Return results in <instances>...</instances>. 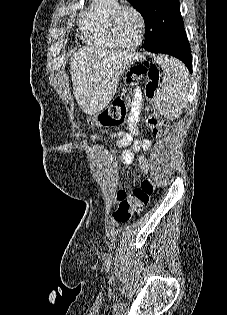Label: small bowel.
<instances>
[{"label": "small bowel", "mask_w": 227, "mask_h": 315, "mask_svg": "<svg viewBox=\"0 0 227 315\" xmlns=\"http://www.w3.org/2000/svg\"><path fill=\"white\" fill-rule=\"evenodd\" d=\"M142 102V94L139 90L135 92V101L133 104V116L131 117L129 123L132 128L133 133H136L135 124L138 121V114L140 110V105ZM115 138H117V147L124 148L130 146V149H125L121 152V161L122 165L126 166L132 163L134 159V153L141 150H148L152 148L151 141L147 139H134L132 134L125 133L123 131H118L113 134ZM96 140V136L92 135L90 137V142L94 143ZM112 153L115 154L116 150H112ZM139 164L144 173H146L149 169V164L147 159L144 156L139 158ZM140 180V176L134 178L135 182ZM119 221V220H118Z\"/></svg>", "instance_id": "1"}]
</instances>
